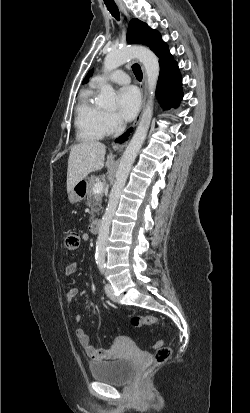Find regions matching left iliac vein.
<instances>
[{"label":"left iliac vein","mask_w":250,"mask_h":413,"mask_svg":"<svg viewBox=\"0 0 250 413\" xmlns=\"http://www.w3.org/2000/svg\"><path fill=\"white\" fill-rule=\"evenodd\" d=\"M105 292L107 294V296L112 300V301H116V297L113 291V288L111 286V284L107 283L105 285Z\"/></svg>","instance_id":"left-iliac-vein-1"}]
</instances>
